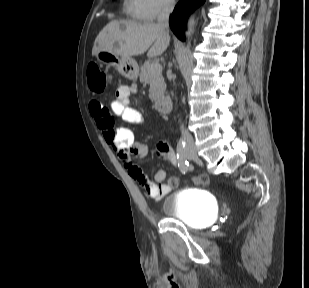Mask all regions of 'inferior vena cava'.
<instances>
[{"mask_svg":"<svg viewBox=\"0 0 309 288\" xmlns=\"http://www.w3.org/2000/svg\"><path fill=\"white\" fill-rule=\"evenodd\" d=\"M175 6L174 0H166L163 9L158 16L157 25L161 27L165 34L169 35V16L172 13ZM182 137L187 144H193V137L182 127Z\"/></svg>","mask_w":309,"mask_h":288,"instance_id":"inferior-vena-cava-1","label":"inferior vena cava"}]
</instances>
